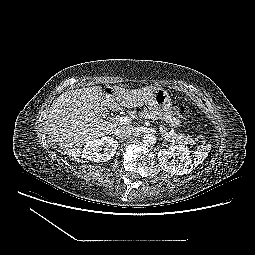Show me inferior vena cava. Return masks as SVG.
Instances as JSON below:
<instances>
[{"label":"inferior vena cava","instance_id":"inferior-vena-cava-1","mask_svg":"<svg viewBox=\"0 0 255 255\" xmlns=\"http://www.w3.org/2000/svg\"><path fill=\"white\" fill-rule=\"evenodd\" d=\"M135 132L133 126H121L115 130V135L119 138L129 137Z\"/></svg>","mask_w":255,"mask_h":255}]
</instances>
